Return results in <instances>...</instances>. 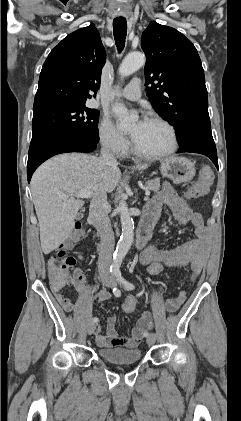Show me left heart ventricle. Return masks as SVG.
<instances>
[{
  "label": "left heart ventricle",
  "mask_w": 241,
  "mask_h": 421,
  "mask_svg": "<svg viewBox=\"0 0 241 421\" xmlns=\"http://www.w3.org/2000/svg\"><path fill=\"white\" fill-rule=\"evenodd\" d=\"M136 146L143 152L156 154L165 151L171 143L168 129L154 122L136 123L130 129Z\"/></svg>",
  "instance_id": "1"
}]
</instances>
